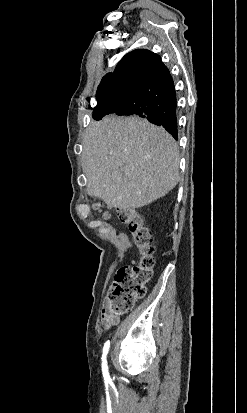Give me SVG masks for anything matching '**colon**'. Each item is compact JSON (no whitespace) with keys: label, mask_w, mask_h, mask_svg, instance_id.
Listing matches in <instances>:
<instances>
[{"label":"colon","mask_w":247,"mask_h":413,"mask_svg":"<svg viewBox=\"0 0 247 413\" xmlns=\"http://www.w3.org/2000/svg\"><path fill=\"white\" fill-rule=\"evenodd\" d=\"M94 209L102 211L105 218L110 217L109 209L100 202L93 205ZM122 223L127 225L140 252V260L132 265L120 269L116 275L110 291V311L112 314H124L142 299L147 286L154 276L155 260L153 234L147 226L145 217L134 210H118Z\"/></svg>","instance_id":"1"}]
</instances>
